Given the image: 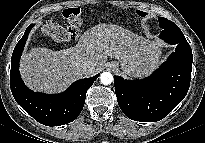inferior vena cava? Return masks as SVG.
Masks as SVG:
<instances>
[{
    "label": "inferior vena cava",
    "mask_w": 205,
    "mask_h": 143,
    "mask_svg": "<svg viewBox=\"0 0 205 143\" xmlns=\"http://www.w3.org/2000/svg\"><path fill=\"white\" fill-rule=\"evenodd\" d=\"M81 71L83 75L90 76L95 73V65L91 62H84L81 65Z\"/></svg>",
    "instance_id": "1"
}]
</instances>
